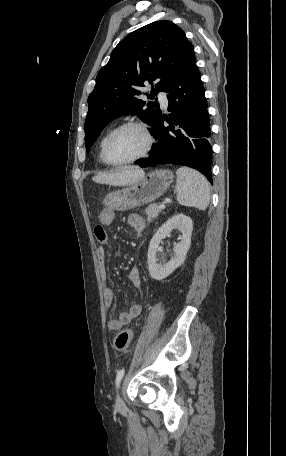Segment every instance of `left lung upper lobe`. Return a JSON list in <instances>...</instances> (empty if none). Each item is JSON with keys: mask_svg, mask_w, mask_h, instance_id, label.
Instances as JSON below:
<instances>
[{"mask_svg": "<svg viewBox=\"0 0 286 456\" xmlns=\"http://www.w3.org/2000/svg\"><path fill=\"white\" fill-rule=\"evenodd\" d=\"M194 59L193 46L184 31L168 20L150 23L119 42L109 62L99 71L88 97L86 148L92 146L105 125L121 115L138 114L154 127L161 115L159 103L140 100L139 87L156 81L155 89L146 94L154 99L159 91L166 92Z\"/></svg>", "mask_w": 286, "mask_h": 456, "instance_id": "obj_1", "label": "left lung upper lobe"}]
</instances>
